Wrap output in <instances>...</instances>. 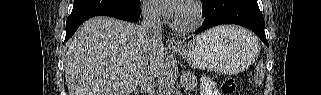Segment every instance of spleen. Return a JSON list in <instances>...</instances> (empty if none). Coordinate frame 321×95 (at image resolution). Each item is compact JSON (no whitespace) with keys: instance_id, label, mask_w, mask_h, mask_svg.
<instances>
[{"instance_id":"spleen-1","label":"spleen","mask_w":321,"mask_h":95,"mask_svg":"<svg viewBox=\"0 0 321 95\" xmlns=\"http://www.w3.org/2000/svg\"><path fill=\"white\" fill-rule=\"evenodd\" d=\"M264 75H265V66L262 61H259L256 67V74H255L256 85L262 84Z\"/></svg>"}]
</instances>
